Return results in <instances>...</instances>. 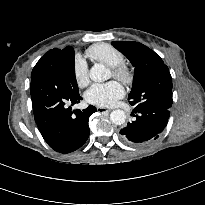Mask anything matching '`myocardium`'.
<instances>
[{
  "label": "myocardium",
  "instance_id": "1",
  "mask_svg": "<svg viewBox=\"0 0 205 205\" xmlns=\"http://www.w3.org/2000/svg\"><path fill=\"white\" fill-rule=\"evenodd\" d=\"M112 76L118 78L126 84H130L133 80V74L131 69L126 64H120L114 67H110Z\"/></svg>",
  "mask_w": 205,
  "mask_h": 205
}]
</instances>
